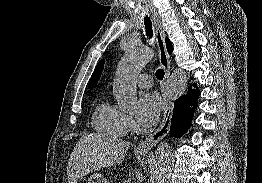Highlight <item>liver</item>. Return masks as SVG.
I'll return each mask as SVG.
<instances>
[{
	"label": "liver",
	"instance_id": "obj_1",
	"mask_svg": "<svg viewBox=\"0 0 262 183\" xmlns=\"http://www.w3.org/2000/svg\"><path fill=\"white\" fill-rule=\"evenodd\" d=\"M129 147V142L102 133L82 136L68 161V183H77L90 172L121 164Z\"/></svg>",
	"mask_w": 262,
	"mask_h": 183
}]
</instances>
